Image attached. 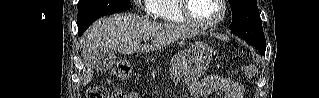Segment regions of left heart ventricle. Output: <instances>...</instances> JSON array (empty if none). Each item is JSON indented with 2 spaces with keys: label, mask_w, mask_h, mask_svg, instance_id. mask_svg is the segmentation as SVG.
I'll return each instance as SVG.
<instances>
[{
  "label": "left heart ventricle",
  "mask_w": 319,
  "mask_h": 98,
  "mask_svg": "<svg viewBox=\"0 0 319 98\" xmlns=\"http://www.w3.org/2000/svg\"><path fill=\"white\" fill-rule=\"evenodd\" d=\"M188 5L190 13L204 22L214 21L221 13L217 0H190Z\"/></svg>",
  "instance_id": "obj_1"
}]
</instances>
